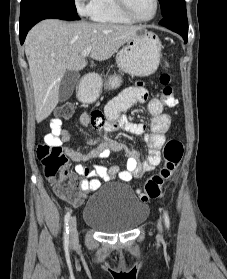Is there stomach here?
I'll return each instance as SVG.
<instances>
[{
	"instance_id": "0dacf381",
	"label": "stomach",
	"mask_w": 227,
	"mask_h": 279,
	"mask_svg": "<svg viewBox=\"0 0 227 279\" xmlns=\"http://www.w3.org/2000/svg\"><path fill=\"white\" fill-rule=\"evenodd\" d=\"M162 44L154 33L141 28L135 37L127 41L117 52L116 63L119 70L133 76H149L153 74L160 63ZM119 76L110 77L106 83L109 89L120 86ZM102 89V82L86 81L78 89V98L82 102L93 103Z\"/></svg>"
}]
</instances>
